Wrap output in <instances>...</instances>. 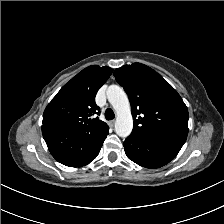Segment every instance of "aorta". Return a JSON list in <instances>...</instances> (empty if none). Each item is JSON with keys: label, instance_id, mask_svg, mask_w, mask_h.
Masks as SVG:
<instances>
[{"label": "aorta", "instance_id": "1", "mask_svg": "<svg viewBox=\"0 0 224 224\" xmlns=\"http://www.w3.org/2000/svg\"><path fill=\"white\" fill-rule=\"evenodd\" d=\"M108 101L116 111L115 132L120 137H127L133 129V118L127 94L118 85H110L106 91Z\"/></svg>", "mask_w": 224, "mask_h": 224}]
</instances>
